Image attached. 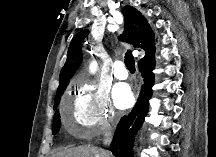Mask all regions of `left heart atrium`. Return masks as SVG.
I'll list each match as a JSON object with an SVG mask.
<instances>
[{
	"instance_id": "left-heart-atrium-1",
	"label": "left heart atrium",
	"mask_w": 216,
	"mask_h": 157,
	"mask_svg": "<svg viewBox=\"0 0 216 157\" xmlns=\"http://www.w3.org/2000/svg\"><path fill=\"white\" fill-rule=\"evenodd\" d=\"M113 100L119 109L128 108L133 101L132 91L127 84H118L113 90Z\"/></svg>"
}]
</instances>
